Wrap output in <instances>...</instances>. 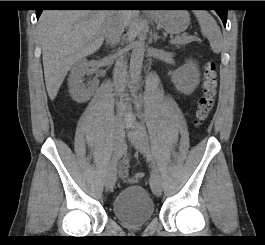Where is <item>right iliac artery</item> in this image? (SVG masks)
I'll return each mask as SVG.
<instances>
[{
    "instance_id": "1",
    "label": "right iliac artery",
    "mask_w": 265,
    "mask_h": 245,
    "mask_svg": "<svg viewBox=\"0 0 265 245\" xmlns=\"http://www.w3.org/2000/svg\"><path fill=\"white\" fill-rule=\"evenodd\" d=\"M122 156V146L120 145L117 152H114L111 160L109 161V167L114 164Z\"/></svg>"
}]
</instances>
